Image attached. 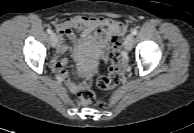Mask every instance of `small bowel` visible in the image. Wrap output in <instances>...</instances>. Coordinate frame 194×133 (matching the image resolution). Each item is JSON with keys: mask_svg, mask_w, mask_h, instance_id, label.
I'll list each match as a JSON object with an SVG mask.
<instances>
[{"mask_svg": "<svg viewBox=\"0 0 194 133\" xmlns=\"http://www.w3.org/2000/svg\"><path fill=\"white\" fill-rule=\"evenodd\" d=\"M56 30L59 41L56 56L51 61V67L66 83L71 92L78 93L81 86L75 83L65 71L64 66L67 64V59L60 58L68 49L65 38L78 43L92 42L106 51L110 48L111 39L114 36L124 35L127 29L122 22L114 19L76 15L60 20L56 24ZM75 30L80 31L79 38H77Z\"/></svg>", "mask_w": 194, "mask_h": 133, "instance_id": "1", "label": "small bowel"}]
</instances>
